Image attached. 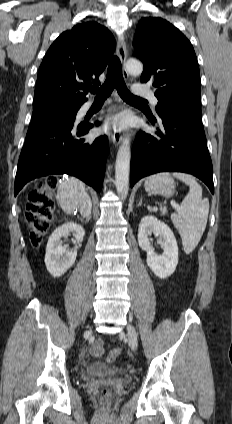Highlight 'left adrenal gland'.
Here are the masks:
<instances>
[{"label": "left adrenal gland", "instance_id": "left-adrenal-gland-1", "mask_svg": "<svg viewBox=\"0 0 232 424\" xmlns=\"http://www.w3.org/2000/svg\"><path fill=\"white\" fill-rule=\"evenodd\" d=\"M142 205V197L140 198V201H139V203L137 204V207H139V206H141Z\"/></svg>", "mask_w": 232, "mask_h": 424}]
</instances>
